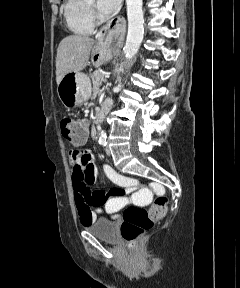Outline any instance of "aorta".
<instances>
[{
    "label": "aorta",
    "instance_id": "1",
    "mask_svg": "<svg viewBox=\"0 0 240 288\" xmlns=\"http://www.w3.org/2000/svg\"><path fill=\"white\" fill-rule=\"evenodd\" d=\"M127 18H128V34L124 46V55L130 60L138 52L144 36V16L142 0H126ZM106 138L105 131H101L99 139Z\"/></svg>",
    "mask_w": 240,
    "mask_h": 288
}]
</instances>
